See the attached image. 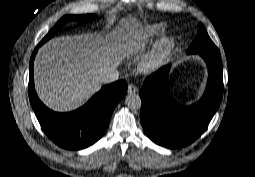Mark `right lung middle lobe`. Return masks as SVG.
Returning a JSON list of instances; mask_svg holds the SVG:
<instances>
[{
    "label": "right lung middle lobe",
    "instance_id": "dd1d6c3e",
    "mask_svg": "<svg viewBox=\"0 0 255 177\" xmlns=\"http://www.w3.org/2000/svg\"><path fill=\"white\" fill-rule=\"evenodd\" d=\"M96 15H67L62 17L59 22L49 31V33L42 39V41L39 43V45H42L44 42L49 40L58 30H60L63 25L71 20L74 21H81V22H86L90 21L92 19H95Z\"/></svg>",
    "mask_w": 255,
    "mask_h": 177
}]
</instances>
